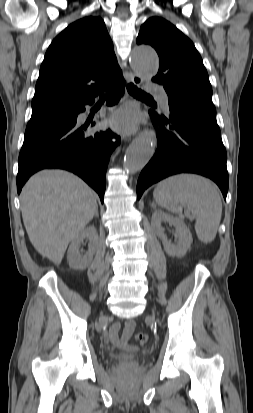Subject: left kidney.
I'll return each mask as SVG.
<instances>
[{
  "mask_svg": "<svg viewBox=\"0 0 253 413\" xmlns=\"http://www.w3.org/2000/svg\"><path fill=\"white\" fill-rule=\"evenodd\" d=\"M161 222H167L175 227V236L178 239L177 244H171L164 234V228ZM152 227L157 236L161 238L165 252L172 257H183L190 248L193 238L190 230L180 218H175L160 210H156L152 215Z\"/></svg>",
  "mask_w": 253,
  "mask_h": 413,
  "instance_id": "left-kidney-1",
  "label": "left kidney"
}]
</instances>
